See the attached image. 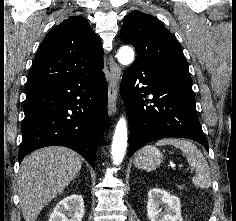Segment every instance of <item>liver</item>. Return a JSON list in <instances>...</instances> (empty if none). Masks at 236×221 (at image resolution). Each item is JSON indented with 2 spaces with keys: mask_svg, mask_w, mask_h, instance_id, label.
<instances>
[{
  "mask_svg": "<svg viewBox=\"0 0 236 221\" xmlns=\"http://www.w3.org/2000/svg\"><path fill=\"white\" fill-rule=\"evenodd\" d=\"M82 159L61 146L32 152L20 165L19 198L25 221H36L41 210L70 184L81 170Z\"/></svg>",
  "mask_w": 236,
  "mask_h": 221,
  "instance_id": "6515ba94",
  "label": "liver"
}]
</instances>
